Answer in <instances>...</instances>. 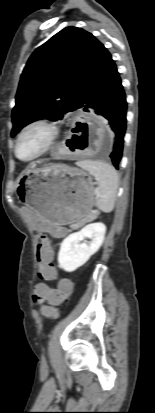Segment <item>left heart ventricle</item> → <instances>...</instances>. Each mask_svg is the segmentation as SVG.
<instances>
[{"instance_id": "obj_1", "label": "left heart ventricle", "mask_w": 155, "mask_h": 413, "mask_svg": "<svg viewBox=\"0 0 155 413\" xmlns=\"http://www.w3.org/2000/svg\"><path fill=\"white\" fill-rule=\"evenodd\" d=\"M49 132L42 126L29 129L21 138L18 146V154L24 159H29L40 152L45 146Z\"/></svg>"}]
</instances>
